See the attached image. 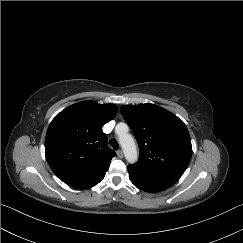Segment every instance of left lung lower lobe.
Masks as SVG:
<instances>
[{
  "label": "left lung lower lobe",
  "instance_id": "0a47b994",
  "mask_svg": "<svg viewBox=\"0 0 243 243\" xmlns=\"http://www.w3.org/2000/svg\"><path fill=\"white\" fill-rule=\"evenodd\" d=\"M180 177L181 175H164L151 179H134L130 177V180L139 189L151 193L167 189L176 183Z\"/></svg>",
  "mask_w": 243,
  "mask_h": 243
}]
</instances>
